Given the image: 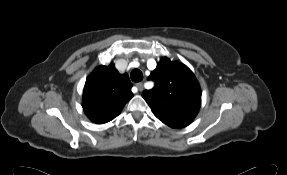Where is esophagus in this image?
Here are the masks:
<instances>
[{"label": "esophagus", "instance_id": "obj_1", "mask_svg": "<svg viewBox=\"0 0 287 175\" xmlns=\"http://www.w3.org/2000/svg\"><path fill=\"white\" fill-rule=\"evenodd\" d=\"M135 86L138 88L139 91L143 90V83L142 82L136 83Z\"/></svg>", "mask_w": 287, "mask_h": 175}]
</instances>
